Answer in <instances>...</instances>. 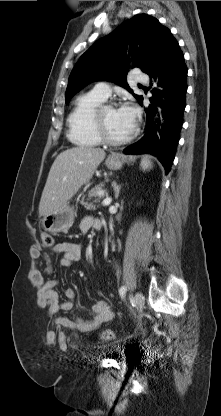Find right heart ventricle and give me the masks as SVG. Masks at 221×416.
I'll use <instances>...</instances> for the list:
<instances>
[{"label":"right heart ventricle","mask_w":221,"mask_h":416,"mask_svg":"<svg viewBox=\"0 0 221 416\" xmlns=\"http://www.w3.org/2000/svg\"><path fill=\"white\" fill-rule=\"evenodd\" d=\"M106 99L93 90L81 94L68 116V137L78 146L93 147L102 144L95 130L94 118L97 108Z\"/></svg>","instance_id":"right-heart-ventricle-1"}]
</instances>
